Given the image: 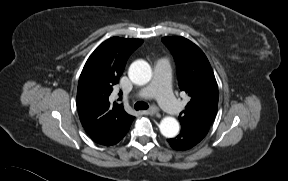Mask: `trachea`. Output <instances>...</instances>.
<instances>
[{
    "mask_svg": "<svg viewBox=\"0 0 288 181\" xmlns=\"http://www.w3.org/2000/svg\"><path fill=\"white\" fill-rule=\"evenodd\" d=\"M148 107H149L148 104L142 101H138L134 105L135 110H146L148 109Z\"/></svg>",
    "mask_w": 288,
    "mask_h": 181,
    "instance_id": "1",
    "label": "trachea"
}]
</instances>
